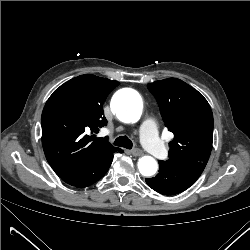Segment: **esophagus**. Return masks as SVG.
I'll return each instance as SVG.
<instances>
[{
	"mask_svg": "<svg viewBox=\"0 0 250 250\" xmlns=\"http://www.w3.org/2000/svg\"><path fill=\"white\" fill-rule=\"evenodd\" d=\"M131 154L135 157H140L143 154V152L140 149H134L131 151Z\"/></svg>",
	"mask_w": 250,
	"mask_h": 250,
	"instance_id": "1",
	"label": "esophagus"
}]
</instances>
